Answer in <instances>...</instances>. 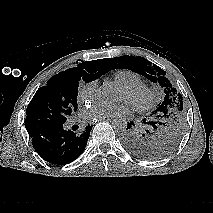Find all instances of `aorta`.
<instances>
[{"mask_svg":"<svg viewBox=\"0 0 213 213\" xmlns=\"http://www.w3.org/2000/svg\"><path fill=\"white\" fill-rule=\"evenodd\" d=\"M97 97L102 103L112 104L118 101L119 94L114 86L111 84H105L99 88ZM112 125L116 131H125L127 128V121L122 118L114 119Z\"/></svg>","mask_w":213,"mask_h":213,"instance_id":"obj_1","label":"aorta"}]
</instances>
